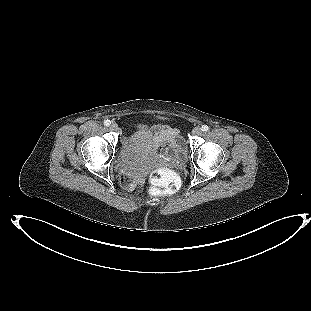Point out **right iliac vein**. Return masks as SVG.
Returning <instances> with one entry per match:
<instances>
[{"label":"right iliac vein","mask_w":311,"mask_h":311,"mask_svg":"<svg viewBox=\"0 0 311 311\" xmlns=\"http://www.w3.org/2000/svg\"><path fill=\"white\" fill-rule=\"evenodd\" d=\"M110 130L112 131H117L118 129V125L116 123H111L110 126H109Z\"/></svg>","instance_id":"1"}]
</instances>
